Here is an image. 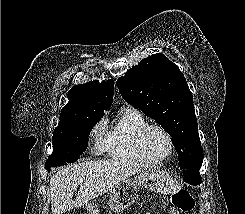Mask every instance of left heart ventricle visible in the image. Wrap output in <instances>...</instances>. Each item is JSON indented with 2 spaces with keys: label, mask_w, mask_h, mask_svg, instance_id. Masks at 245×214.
Listing matches in <instances>:
<instances>
[{
  "label": "left heart ventricle",
  "mask_w": 245,
  "mask_h": 214,
  "mask_svg": "<svg viewBox=\"0 0 245 214\" xmlns=\"http://www.w3.org/2000/svg\"><path fill=\"white\" fill-rule=\"evenodd\" d=\"M168 141L163 133L152 129L147 132L144 139V150L148 158L158 160L168 152Z\"/></svg>",
  "instance_id": "left-heart-ventricle-1"
}]
</instances>
